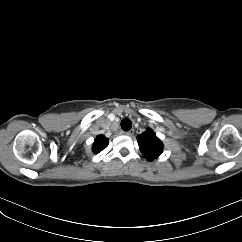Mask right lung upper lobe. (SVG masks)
Masks as SVG:
<instances>
[{
  "instance_id": "1",
  "label": "right lung upper lobe",
  "mask_w": 242,
  "mask_h": 242,
  "mask_svg": "<svg viewBox=\"0 0 242 242\" xmlns=\"http://www.w3.org/2000/svg\"><path fill=\"white\" fill-rule=\"evenodd\" d=\"M107 145H108V139L103 135H99L93 143L92 150L95 154H97L101 152L103 149H105Z\"/></svg>"
}]
</instances>
